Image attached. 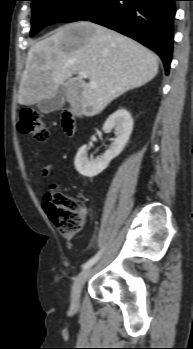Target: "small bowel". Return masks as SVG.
<instances>
[{
    "label": "small bowel",
    "mask_w": 193,
    "mask_h": 349,
    "mask_svg": "<svg viewBox=\"0 0 193 349\" xmlns=\"http://www.w3.org/2000/svg\"><path fill=\"white\" fill-rule=\"evenodd\" d=\"M51 170H52V165H51V164L47 165V166L43 169V171H42L43 177H44V178L49 177L50 174H51ZM82 214H83L84 216L87 214L86 209L83 208V207H82Z\"/></svg>",
    "instance_id": "c3829d8e"
}]
</instances>
